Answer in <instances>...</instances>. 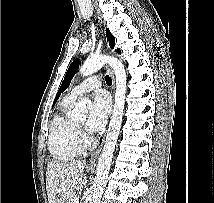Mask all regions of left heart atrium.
Returning <instances> with one entry per match:
<instances>
[{
    "label": "left heart atrium",
    "instance_id": "1",
    "mask_svg": "<svg viewBox=\"0 0 214 203\" xmlns=\"http://www.w3.org/2000/svg\"><path fill=\"white\" fill-rule=\"evenodd\" d=\"M109 112L110 102L106 93L103 91H98L94 96L90 108L87 122L89 130L93 132L101 130L106 124Z\"/></svg>",
    "mask_w": 214,
    "mask_h": 203
}]
</instances>
